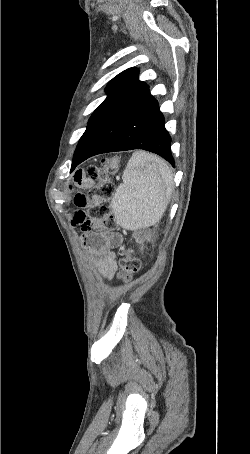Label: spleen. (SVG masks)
<instances>
[{
  "label": "spleen",
  "mask_w": 250,
  "mask_h": 454,
  "mask_svg": "<svg viewBox=\"0 0 250 454\" xmlns=\"http://www.w3.org/2000/svg\"><path fill=\"white\" fill-rule=\"evenodd\" d=\"M111 201L116 223L135 231L162 218L173 190V174L163 159L136 151L127 163Z\"/></svg>",
  "instance_id": "3e777b00"
}]
</instances>
